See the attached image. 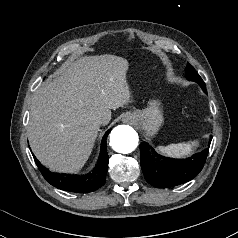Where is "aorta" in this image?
<instances>
[{"label": "aorta", "instance_id": "1", "mask_svg": "<svg viewBox=\"0 0 238 238\" xmlns=\"http://www.w3.org/2000/svg\"><path fill=\"white\" fill-rule=\"evenodd\" d=\"M110 145L116 152L131 153L138 145V134L131 126L118 125L111 131Z\"/></svg>", "mask_w": 238, "mask_h": 238}]
</instances>
